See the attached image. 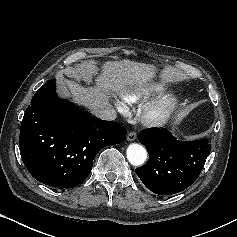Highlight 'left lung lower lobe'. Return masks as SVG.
I'll list each match as a JSON object with an SVG mask.
<instances>
[{
    "mask_svg": "<svg viewBox=\"0 0 237 237\" xmlns=\"http://www.w3.org/2000/svg\"><path fill=\"white\" fill-rule=\"evenodd\" d=\"M148 162L137 168L143 184L159 195H172L188 188L201 173L211 151L207 139L178 141L165 129H147L138 137Z\"/></svg>",
    "mask_w": 237,
    "mask_h": 237,
    "instance_id": "obj_1",
    "label": "left lung lower lobe"
}]
</instances>
